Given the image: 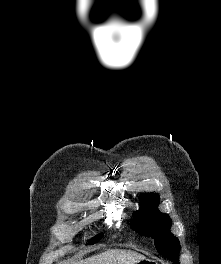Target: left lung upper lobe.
<instances>
[{
    "instance_id": "obj_1",
    "label": "left lung upper lobe",
    "mask_w": 221,
    "mask_h": 264,
    "mask_svg": "<svg viewBox=\"0 0 221 264\" xmlns=\"http://www.w3.org/2000/svg\"><path fill=\"white\" fill-rule=\"evenodd\" d=\"M140 209L134 212L131 221L133 227L140 233L155 238V246L159 253L179 264V240L170 232L171 219L167 214L161 213L157 206V194H142Z\"/></svg>"
}]
</instances>
